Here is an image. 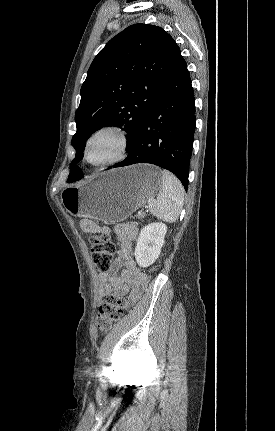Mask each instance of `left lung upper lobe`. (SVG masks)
<instances>
[{"label":"left lung upper lobe","mask_w":275,"mask_h":431,"mask_svg":"<svg viewBox=\"0 0 275 431\" xmlns=\"http://www.w3.org/2000/svg\"><path fill=\"white\" fill-rule=\"evenodd\" d=\"M180 55L174 39L149 24L131 25L106 44L81 87L71 141L76 156L68 178L82 173L75 163L83 158L86 140L104 125L123 126L129 150Z\"/></svg>","instance_id":"obj_1"}]
</instances>
